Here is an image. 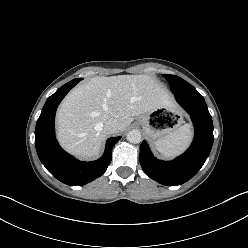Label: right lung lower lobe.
<instances>
[{
    "label": "right lung lower lobe",
    "instance_id": "1",
    "mask_svg": "<svg viewBox=\"0 0 248 248\" xmlns=\"http://www.w3.org/2000/svg\"><path fill=\"white\" fill-rule=\"evenodd\" d=\"M80 80L66 83L47 99L35 129V146L40 161L55 178L70 186L84 185L103 175L111 162L112 148L121 138H109L103 156L92 162L78 161L59 146L54 133L56 109Z\"/></svg>",
    "mask_w": 248,
    "mask_h": 248
}]
</instances>
